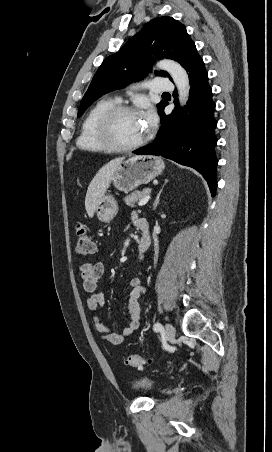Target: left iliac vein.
Returning <instances> with one entry per match:
<instances>
[{
  "label": "left iliac vein",
  "instance_id": "obj_1",
  "mask_svg": "<svg viewBox=\"0 0 272 452\" xmlns=\"http://www.w3.org/2000/svg\"><path fill=\"white\" fill-rule=\"evenodd\" d=\"M165 335L169 342H173L175 338V328L172 324L166 323L165 325Z\"/></svg>",
  "mask_w": 272,
  "mask_h": 452
}]
</instances>
